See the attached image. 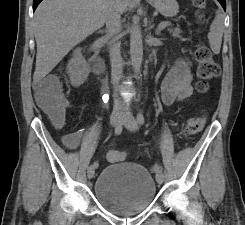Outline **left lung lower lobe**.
<instances>
[{"instance_id": "left-lung-lower-lobe-1", "label": "left lung lower lobe", "mask_w": 245, "mask_h": 225, "mask_svg": "<svg viewBox=\"0 0 245 225\" xmlns=\"http://www.w3.org/2000/svg\"><path fill=\"white\" fill-rule=\"evenodd\" d=\"M219 3L222 5V7L224 8V10H226V3L225 0H218Z\"/></svg>"}]
</instances>
